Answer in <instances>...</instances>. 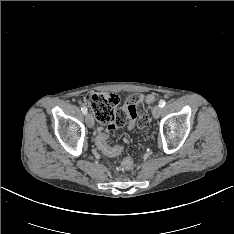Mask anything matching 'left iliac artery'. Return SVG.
Returning <instances> with one entry per match:
<instances>
[{"label":"left iliac artery","instance_id":"1","mask_svg":"<svg viewBox=\"0 0 234 234\" xmlns=\"http://www.w3.org/2000/svg\"><path fill=\"white\" fill-rule=\"evenodd\" d=\"M165 104H166L165 100L162 99V100L159 101V106L160 107H164Z\"/></svg>","mask_w":234,"mask_h":234}]
</instances>
